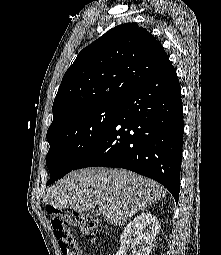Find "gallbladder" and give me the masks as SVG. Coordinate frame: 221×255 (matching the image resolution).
<instances>
[{"label":"gallbladder","mask_w":221,"mask_h":255,"mask_svg":"<svg viewBox=\"0 0 221 255\" xmlns=\"http://www.w3.org/2000/svg\"><path fill=\"white\" fill-rule=\"evenodd\" d=\"M92 213H93L95 216H98V215L101 214L100 210H98V209H93V210H92Z\"/></svg>","instance_id":"1"}]
</instances>
